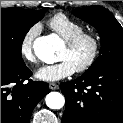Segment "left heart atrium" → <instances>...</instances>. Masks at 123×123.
I'll list each match as a JSON object with an SVG mask.
<instances>
[{"mask_svg":"<svg viewBox=\"0 0 123 123\" xmlns=\"http://www.w3.org/2000/svg\"><path fill=\"white\" fill-rule=\"evenodd\" d=\"M75 72V67L68 60H60L58 63L41 67L36 77L42 81H58Z\"/></svg>","mask_w":123,"mask_h":123,"instance_id":"obj_1","label":"left heart atrium"}]
</instances>
